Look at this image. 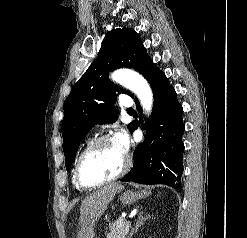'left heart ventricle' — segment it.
<instances>
[{"mask_svg":"<svg viewBox=\"0 0 247 238\" xmlns=\"http://www.w3.org/2000/svg\"><path fill=\"white\" fill-rule=\"evenodd\" d=\"M125 153L114 140L101 144L82 164V179L89 184L107 179L120 171Z\"/></svg>","mask_w":247,"mask_h":238,"instance_id":"1","label":"left heart ventricle"}]
</instances>
